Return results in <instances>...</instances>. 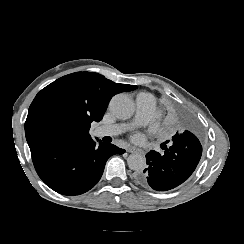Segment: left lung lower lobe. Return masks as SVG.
I'll use <instances>...</instances> for the list:
<instances>
[{
  "label": "left lung lower lobe",
  "mask_w": 244,
  "mask_h": 244,
  "mask_svg": "<svg viewBox=\"0 0 244 244\" xmlns=\"http://www.w3.org/2000/svg\"><path fill=\"white\" fill-rule=\"evenodd\" d=\"M198 130L191 119H184L182 131L176 132L172 141L161 144L164 153L150 151L146 155L148 167L136 175L138 183L157 191L173 189L193 173L202 154Z\"/></svg>",
  "instance_id": "left-lung-lower-lobe-1"
}]
</instances>
